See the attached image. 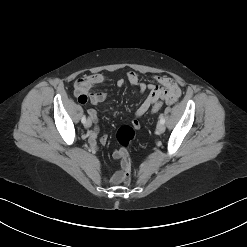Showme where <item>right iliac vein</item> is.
Wrapping results in <instances>:
<instances>
[{
	"label": "right iliac vein",
	"mask_w": 247,
	"mask_h": 247,
	"mask_svg": "<svg viewBox=\"0 0 247 247\" xmlns=\"http://www.w3.org/2000/svg\"><path fill=\"white\" fill-rule=\"evenodd\" d=\"M91 125H92V122H91L90 119H88V120L84 123V126H85L86 128H90Z\"/></svg>",
	"instance_id": "obj_1"
}]
</instances>
